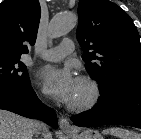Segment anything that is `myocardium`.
Instances as JSON below:
<instances>
[{
  "label": "myocardium",
  "mask_w": 141,
  "mask_h": 139,
  "mask_svg": "<svg viewBox=\"0 0 141 139\" xmlns=\"http://www.w3.org/2000/svg\"><path fill=\"white\" fill-rule=\"evenodd\" d=\"M77 82L86 86L88 90L87 97L78 103H69L68 108L74 112H85L94 108L100 101L102 92L99 83L90 76H80Z\"/></svg>",
  "instance_id": "1"
}]
</instances>
